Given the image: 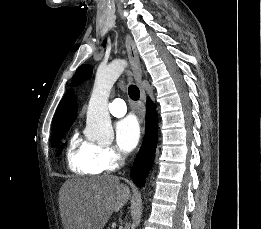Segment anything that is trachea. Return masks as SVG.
Masks as SVG:
<instances>
[{
    "instance_id": "3493384b",
    "label": "trachea",
    "mask_w": 261,
    "mask_h": 229,
    "mask_svg": "<svg viewBox=\"0 0 261 229\" xmlns=\"http://www.w3.org/2000/svg\"><path fill=\"white\" fill-rule=\"evenodd\" d=\"M128 94H129L130 99H132V100H138L140 97V92L136 85H129Z\"/></svg>"
}]
</instances>
